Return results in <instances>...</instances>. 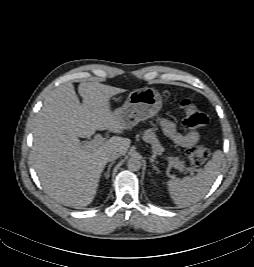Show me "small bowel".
<instances>
[{
  "label": "small bowel",
  "instance_id": "c3829d8e",
  "mask_svg": "<svg viewBox=\"0 0 254 267\" xmlns=\"http://www.w3.org/2000/svg\"><path fill=\"white\" fill-rule=\"evenodd\" d=\"M161 126L164 132L171 138L173 142L182 147H191L199 140V134L191 131L185 134L179 133L175 125L166 119L161 120Z\"/></svg>",
  "mask_w": 254,
  "mask_h": 267
}]
</instances>
